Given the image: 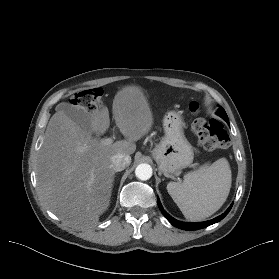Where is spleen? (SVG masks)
<instances>
[{
  "instance_id": "1",
  "label": "spleen",
  "mask_w": 279,
  "mask_h": 279,
  "mask_svg": "<svg viewBox=\"0 0 279 279\" xmlns=\"http://www.w3.org/2000/svg\"><path fill=\"white\" fill-rule=\"evenodd\" d=\"M231 176L228 161L220 158L186 174L183 182H169L167 191L186 219L202 221L225 203L231 188Z\"/></svg>"
}]
</instances>
